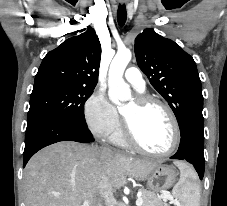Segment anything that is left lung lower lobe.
<instances>
[{"label":"left lung lower lobe","instance_id":"0a47b994","mask_svg":"<svg viewBox=\"0 0 227 206\" xmlns=\"http://www.w3.org/2000/svg\"><path fill=\"white\" fill-rule=\"evenodd\" d=\"M204 132L203 126L192 123L181 132L178 151L171 159L187 160L198 172L202 180L204 175Z\"/></svg>","mask_w":227,"mask_h":206}]
</instances>
